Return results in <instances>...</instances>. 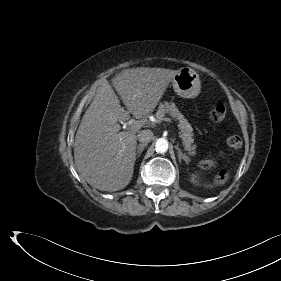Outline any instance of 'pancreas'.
I'll use <instances>...</instances> for the list:
<instances>
[{"label":"pancreas","mask_w":281,"mask_h":281,"mask_svg":"<svg viewBox=\"0 0 281 281\" xmlns=\"http://www.w3.org/2000/svg\"><path fill=\"white\" fill-rule=\"evenodd\" d=\"M165 114H169L175 120H178V128L180 129V137L183 141L185 150L188 154L193 156L196 154V145H194L193 129L187 119L180 113L174 103L165 102L160 104L156 112V118L158 121H162Z\"/></svg>","instance_id":"cf45deb5"}]
</instances>
